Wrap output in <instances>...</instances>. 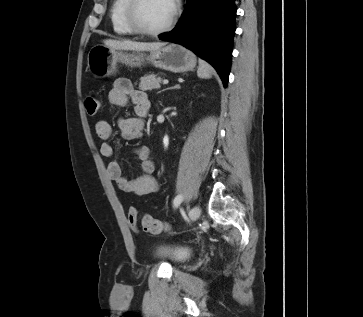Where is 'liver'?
Listing matches in <instances>:
<instances>
[{
    "label": "liver",
    "mask_w": 363,
    "mask_h": 317,
    "mask_svg": "<svg viewBox=\"0 0 363 317\" xmlns=\"http://www.w3.org/2000/svg\"><path fill=\"white\" fill-rule=\"evenodd\" d=\"M105 46L114 50H132V51H153L166 45L164 42H136L129 40L106 39L103 41Z\"/></svg>",
    "instance_id": "6515ba94"
}]
</instances>
